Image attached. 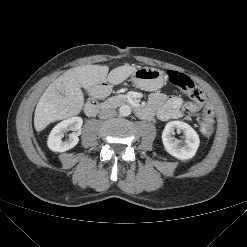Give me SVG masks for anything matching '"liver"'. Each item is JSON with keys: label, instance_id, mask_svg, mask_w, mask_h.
Returning a JSON list of instances; mask_svg holds the SVG:
<instances>
[{"label": "liver", "instance_id": "6515ba94", "mask_svg": "<svg viewBox=\"0 0 247 247\" xmlns=\"http://www.w3.org/2000/svg\"><path fill=\"white\" fill-rule=\"evenodd\" d=\"M136 70L135 65L119 66L109 72L108 66L84 65L68 70L51 83L40 97L34 114V127L42 131L50 123L81 112L84 96L81 87H92L108 81L124 82Z\"/></svg>", "mask_w": 247, "mask_h": 247}]
</instances>
